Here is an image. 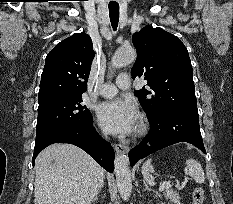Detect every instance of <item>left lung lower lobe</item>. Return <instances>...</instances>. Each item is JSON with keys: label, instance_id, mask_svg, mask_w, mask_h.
Here are the masks:
<instances>
[{"label": "left lung lower lobe", "instance_id": "obj_1", "mask_svg": "<svg viewBox=\"0 0 233 204\" xmlns=\"http://www.w3.org/2000/svg\"><path fill=\"white\" fill-rule=\"evenodd\" d=\"M149 119V134L139 146L129 152L131 166L138 160L178 142L191 143L205 153L197 113L167 111Z\"/></svg>", "mask_w": 233, "mask_h": 204}]
</instances>
